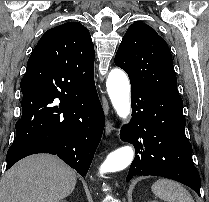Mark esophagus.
Here are the masks:
<instances>
[{
    "label": "esophagus",
    "mask_w": 209,
    "mask_h": 202,
    "mask_svg": "<svg viewBox=\"0 0 209 202\" xmlns=\"http://www.w3.org/2000/svg\"><path fill=\"white\" fill-rule=\"evenodd\" d=\"M113 130V124L111 121H108L106 126V134L107 136L110 135L111 131Z\"/></svg>",
    "instance_id": "obj_1"
}]
</instances>
